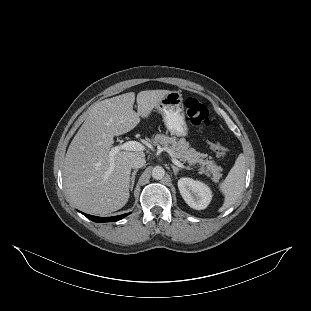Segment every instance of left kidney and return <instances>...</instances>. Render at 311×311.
Wrapping results in <instances>:
<instances>
[{
    "label": "left kidney",
    "instance_id": "left-kidney-1",
    "mask_svg": "<svg viewBox=\"0 0 311 311\" xmlns=\"http://www.w3.org/2000/svg\"><path fill=\"white\" fill-rule=\"evenodd\" d=\"M178 188L184 201L191 208L202 210L208 206L211 194L205 185L190 178H181L178 180Z\"/></svg>",
    "mask_w": 311,
    "mask_h": 311
}]
</instances>
